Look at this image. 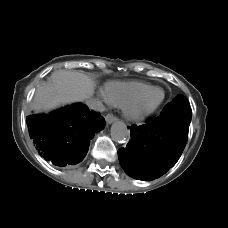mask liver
Wrapping results in <instances>:
<instances>
[{
  "mask_svg": "<svg viewBox=\"0 0 228 228\" xmlns=\"http://www.w3.org/2000/svg\"><path fill=\"white\" fill-rule=\"evenodd\" d=\"M93 80L80 72L58 70L52 73L49 84L40 86L32 104L35 110H49L60 104L84 101L94 94Z\"/></svg>",
  "mask_w": 228,
  "mask_h": 228,
  "instance_id": "obj_1",
  "label": "liver"
}]
</instances>
